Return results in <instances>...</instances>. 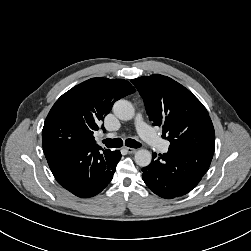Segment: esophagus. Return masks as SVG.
I'll list each match as a JSON object with an SVG mask.
<instances>
[{
  "label": "esophagus",
  "instance_id": "obj_1",
  "mask_svg": "<svg viewBox=\"0 0 251 251\" xmlns=\"http://www.w3.org/2000/svg\"><path fill=\"white\" fill-rule=\"evenodd\" d=\"M125 150L130 154H133L137 151V149L131 147H125Z\"/></svg>",
  "mask_w": 251,
  "mask_h": 251
}]
</instances>
